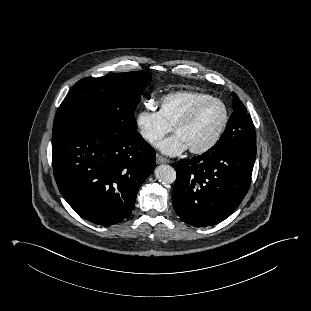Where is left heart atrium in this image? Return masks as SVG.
Listing matches in <instances>:
<instances>
[{"mask_svg":"<svg viewBox=\"0 0 311 311\" xmlns=\"http://www.w3.org/2000/svg\"><path fill=\"white\" fill-rule=\"evenodd\" d=\"M157 148L167 156H177L186 151L188 146L183 138L175 133L174 135L161 141L157 145Z\"/></svg>","mask_w":311,"mask_h":311,"instance_id":"39dd6f15","label":"left heart atrium"}]
</instances>
